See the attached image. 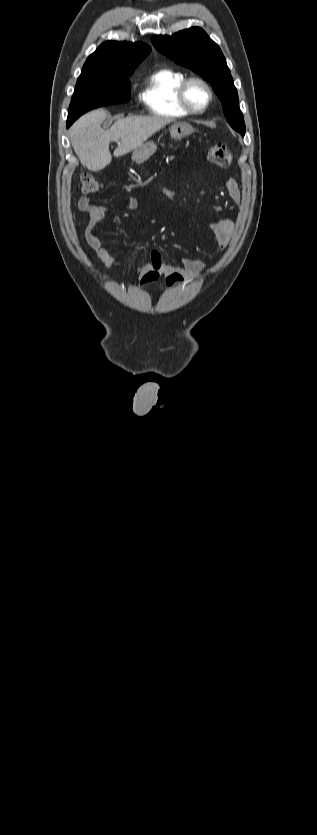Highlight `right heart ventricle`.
<instances>
[{
  "label": "right heart ventricle",
  "mask_w": 317,
  "mask_h": 835,
  "mask_svg": "<svg viewBox=\"0 0 317 835\" xmlns=\"http://www.w3.org/2000/svg\"><path fill=\"white\" fill-rule=\"evenodd\" d=\"M186 74L171 67H160L144 80L140 100L149 113L161 117H182L189 114L180 104L178 90Z\"/></svg>",
  "instance_id": "obj_1"
}]
</instances>
